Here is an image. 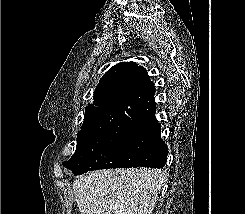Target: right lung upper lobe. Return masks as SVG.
Returning <instances> with one entry per match:
<instances>
[{
  "mask_svg": "<svg viewBox=\"0 0 245 214\" xmlns=\"http://www.w3.org/2000/svg\"><path fill=\"white\" fill-rule=\"evenodd\" d=\"M154 93L146 69L134 62L114 65L97 85L94 102L85 109L78 135H101L117 128L133 127L140 118L142 99Z\"/></svg>",
  "mask_w": 245,
  "mask_h": 214,
  "instance_id": "obj_1",
  "label": "right lung upper lobe"
}]
</instances>
